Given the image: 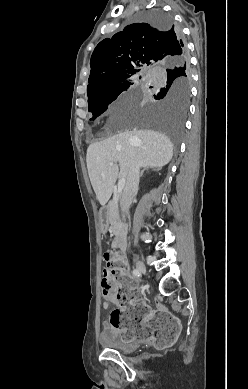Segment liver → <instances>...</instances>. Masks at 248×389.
Listing matches in <instances>:
<instances>
[{"label": "liver", "mask_w": 248, "mask_h": 389, "mask_svg": "<svg viewBox=\"0 0 248 389\" xmlns=\"http://www.w3.org/2000/svg\"><path fill=\"white\" fill-rule=\"evenodd\" d=\"M172 156L170 139L154 130L124 131L89 145L87 169L98 201L102 206L107 203L117 178H127L134 161L140 167L161 168L169 163ZM110 163L115 165L110 166Z\"/></svg>", "instance_id": "1"}]
</instances>
